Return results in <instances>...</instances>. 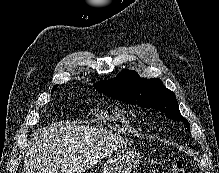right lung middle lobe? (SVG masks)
<instances>
[{"label":"right lung middle lobe","instance_id":"1","mask_svg":"<svg viewBox=\"0 0 219 173\" xmlns=\"http://www.w3.org/2000/svg\"><path fill=\"white\" fill-rule=\"evenodd\" d=\"M56 87H57V86H54V88L52 89V92L55 90Z\"/></svg>","mask_w":219,"mask_h":173}]
</instances>
